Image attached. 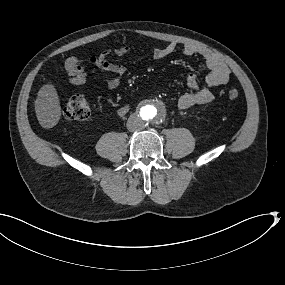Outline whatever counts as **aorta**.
I'll return each mask as SVG.
<instances>
[{
	"label": "aorta",
	"mask_w": 285,
	"mask_h": 285,
	"mask_svg": "<svg viewBox=\"0 0 285 285\" xmlns=\"http://www.w3.org/2000/svg\"><path fill=\"white\" fill-rule=\"evenodd\" d=\"M140 113L144 121L152 125H157L165 121L169 113V108L165 100L157 96H152L144 100L140 108Z\"/></svg>",
	"instance_id": "762f6f07"
}]
</instances>
